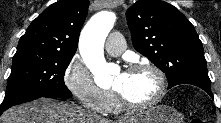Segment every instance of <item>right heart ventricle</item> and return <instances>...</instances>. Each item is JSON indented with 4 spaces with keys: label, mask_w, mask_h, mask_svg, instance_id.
<instances>
[{
    "label": "right heart ventricle",
    "mask_w": 221,
    "mask_h": 123,
    "mask_svg": "<svg viewBox=\"0 0 221 123\" xmlns=\"http://www.w3.org/2000/svg\"><path fill=\"white\" fill-rule=\"evenodd\" d=\"M121 110H122V107L118 103L115 96L112 94L109 104L107 106L106 112L117 114V113L121 112Z\"/></svg>",
    "instance_id": "obj_1"
}]
</instances>
